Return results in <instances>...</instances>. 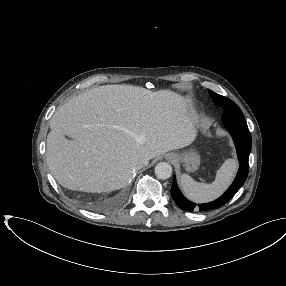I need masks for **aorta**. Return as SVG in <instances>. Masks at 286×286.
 Segmentation results:
<instances>
[{
  "instance_id": "aorta-1",
  "label": "aorta",
  "mask_w": 286,
  "mask_h": 286,
  "mask_svg": "<svg viewBox=\"0 0 286 286\" xmlns=\"http://www.w3.org/2000/svg\"><path fill=\"white\" fill-rule=\"evenodd\" d=\"M155 174L159 179H168L172 175V166L167 162H160L155 166Z\"/></svg>"
}]
</instances>
